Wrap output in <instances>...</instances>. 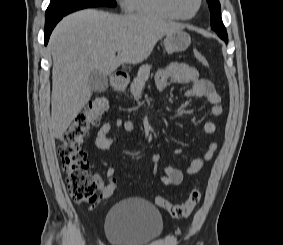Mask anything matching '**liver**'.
Listing matches in <instances>:
<instances>
[{
    "mask_svg": "<svg viewBox=\"0 0 283 245\" xmlns=\"http://www.w3.org/2000/svg\"><path fill=\"white\" fill-rule=\"evenodd\" d=\"M182 28L179 23L95 9L62 19L48 45L53 58L51 126L55 138L62 137L89 102L92 71L110 76L123 63H141L160 39Z\"/></svg>",
    "mask_w": 283,
    "mask_h": 245,
    "instance_id": "obj_1",
    "label": "liver"
}]
</instances>
